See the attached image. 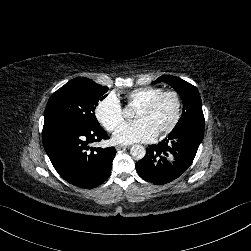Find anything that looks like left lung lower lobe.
<instances>
[{"instance_id":"obj_1","label":"left lung lower lobe","mask_w":251,"mask_h":251,"mask_svg":"<svg viewBox=\"0 0 251 251\" xmlns=\"http://www.w3.org/2000/svg\"><path fill=\"white\" fill-rule=\"evenodd\" d=\"M204 131L179 129L157 145H149L136 164L138 174L153 184H167L181 176L192 164ZM174 156V160L171 159Z\"/></svg>"}]
</instances>
